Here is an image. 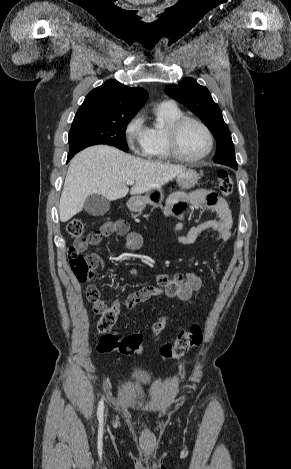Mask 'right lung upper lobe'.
<instances>
[{
  "label": "right lung upper lobe",
  "instance_id": "1",
  "mask_svg": "<svg viewBox=\"0 0 291 469\" xmlns=\"http://www.w3.org/2000/svg\"><path fill=\"white\" fill-rule=\"evenodd\" d=\"M147 98L145 89L130 88L116 80H108L86 96L77 114L131 117L136 115Z\"/></svg>",
  "mask_w": 291,
  "mask_h": 469
}]
</instances>
